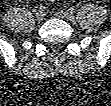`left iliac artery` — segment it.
<instances>
[{
  "mask_svg": "<svg viewBox=\"0 0 111 106\" xmlns=\"http://www.w3.org/2000/svg\"><path fill=\"white\" fill-rule=\"evenodd\" d=\"M69 12H70V13H74V12H75V8H74V7H70V8H69Z\"/></svg>",
  "mask_w": 111,
  "mask_h": 106,
  "instance_id": "left-iliac-artery-1",
  "label": "left iliac artery"
}]
</instances>
